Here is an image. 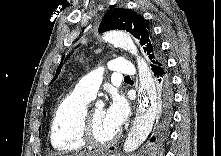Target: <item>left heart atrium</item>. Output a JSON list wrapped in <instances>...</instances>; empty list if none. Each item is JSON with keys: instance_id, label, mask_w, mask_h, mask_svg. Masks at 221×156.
<instances>
[{"instance_id": "1", "label": "left heart atrium", "mask_w": 221, "mask_h": 156, "mask_svg": "<svg viewBox=\"0 0 221 156\" xmlns=\"http://www.w3.org/2000/svg\"><path fill=\"white\" fill-rule=\"evenodd\" d=\"M129 114V107L126 100L115 95L112 97L111 102L105 110V116L108 124L116 131L120 129L126 121Z\"/></svg>"}]
</instances>
